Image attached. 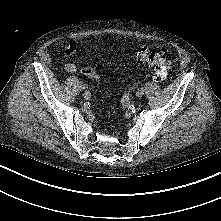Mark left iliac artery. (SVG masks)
<instances>
[{"label":"left iliac artery","mask_w":221,"mask_h":221,"mask_svg":"<svg viewBox=\"0 0 221 221\" xmlns=\"http://www.w3.org/2000/svg\"><path fill=\"white\" fill-rule=\"evenodd\" d=\"M121 104L123 107L127 108V107H130V96H129V93L125 92L123 94V97L121 99Z\"/></svg>","instance_id":"obj_1"}]
</instances>
